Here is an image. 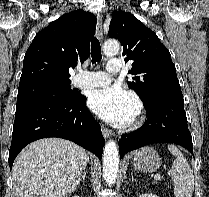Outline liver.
Segmentation results:
<instances>
[{"label":"liver","instance_id":"6515ba94","mask_svg":"<svg viewBox=\"0 0 209 197\" xmlns=\"http://www.w3.org/2000/svg\"><path fill=\"white\" fill-rule=\"evenodd\" d=\"M89 153L62 138H44L17 156L12 177L17 197H69L79 184Z\"/></svg>","mask_w":209,"mask_h":197}]
</instances>
